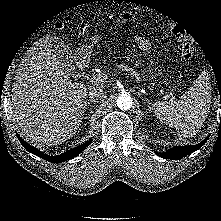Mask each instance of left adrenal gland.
Here are the masks:
<instances>
[{
  "mask_svg": "<svg viewBox=\"0 0 221 221\" xmlns=\"http://www.w3.org/2000/svg\"><path fill=\"white\" fill-rule=\"evenodd\" d=\"M145 99H146V101L148 103L149 109L152 110L151 103H150L149 99H147V98H145Z\"/></svg>",
  "mask_w": 221,
  "mask_h": 221,
  "instance_id": "1",
  "label": "left adrenal gland"
}]
</instances>
